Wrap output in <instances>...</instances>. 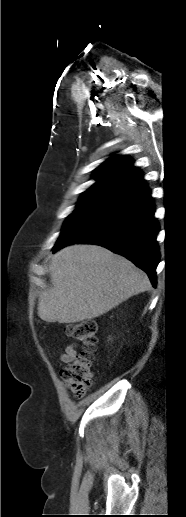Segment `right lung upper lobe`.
Instances as JSON below:
<instances>
[{
	"instance_id": "right-lung-upper-lobe-1",
	"label": "right lung upper lobe",
	"mask_w": 186,
	"mask_h": 517,
	"mask_svg": "<svg viewBox=\"0 0 186 517\" xmlns=\"http://www.w3.org/2000/svg\"><path fill=\"white\" fill-rule=\"evenodd\" d=\"M96 183L81 198L110 200L115 203L147 188L140 170L126 155L115 156L101 164L94 172Z\"/></svg>"
}]
</instances>
